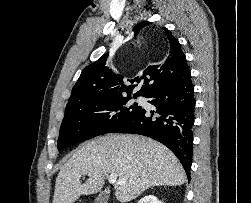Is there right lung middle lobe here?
<instances>
[{"label":"right lung middle lobe","instance_id":"right-lung-middle-lobe-1","mask_svg":"<svg viewBox=\"0 0 251 203\" xmlns=\"http://www.w3.org/2000/svg\"><path fill=\"white\" fill-rule=\"evenodd\" d=\"M130 97L91 100L66 106L58 138V150L83 140L113 133L142 107Z\"/></svg>","mask_w":251,"mask_h":203}]
</instances>
